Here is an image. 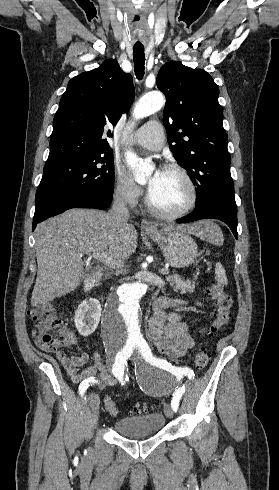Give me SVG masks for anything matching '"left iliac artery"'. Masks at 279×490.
I'll return each instance as SVG.
<instances>
[{
    "label": "left iliac artery",
    "instance_id": "1",
    "mask_svg": "<svg viewBox=\"0 0 279 490\" xmlns=\"http://www.w3.org/2000/svg\"><path fill=\"white\" fill-rule=\"evenodd\" d=\"M140 348H141L142 353L146 357V360H148L152 364L159 366L160 368H163L169 372H172L176 376L177 375L182 376L183 374H185L188 376V378L190 380L194 379V372L192 369H190L188 367L178 368V367L172 366L166 360L159 359V358L157 359L156 357H154L146 342H144V343L141 342ZM184 391H185V387L182 386V387L176 389L175 392L173 393V398L171 401V407L175 412L178 410L179 401H180L181 396L184 393Z\"/></svg>",
    "mask_w": 279,
    "mask_h": 490
}]
</instances>
